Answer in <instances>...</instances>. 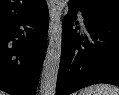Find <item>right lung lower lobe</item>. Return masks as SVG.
<instances>
[{"label": "right lung lower lobe", "instance_id": "obj_1", "mask_svg": "<svg viewBox=\"0 0 119 95\" xmlns=\"http://www.w3.org/2000/svg\"><path fill=\"white\" fill-rule=\"evenodd\" d=\"M49 11L43 2L30 15L0 27V90L35 95L47 43Z\"/></svg>", "mask_w": 119, "mask_h": 95}]
</instances>
